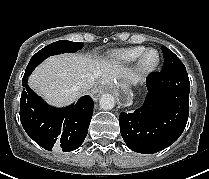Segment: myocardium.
I'll use <instances>...</instances> for the list:
<instances>
[{"label":"myocardium","mask_w":209,"mask_h":179,"mask_svg":"<svg viewBox=\"0 0 209 179\" xmlns=\"http://www.w3.org/2000/svg\"><path fill=\"white\" fill-rule=\"evenodd\" d=\"M150 52H155L157 55V58L153 63L148 64L146 62V57ZM160 62H161L160 52L155 48H147L139 56L137 60V68L142 73H151L158 68V66L160 65Z\"/></svg>","instance_id":"myocardium-1"}]
</instances>
